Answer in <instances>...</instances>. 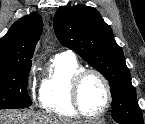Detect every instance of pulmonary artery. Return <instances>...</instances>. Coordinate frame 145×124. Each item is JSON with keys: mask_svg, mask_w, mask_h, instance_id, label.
<instances>
[{"mask_svg": "<svg viewBox=\"0 0 145 124\" xmlns=\"http://www.w3.org/2000/svg\"><path fill=\"white\" fill-rule=\"evenodd\" d=\"M65 54H68V55H73V53H72V52H70V51H67Z\"/></svg>", "mask_w": 145, "mask_h": 124, "instance_id": "obj_1", "label": "pulmonary artery"}]
</instances>
